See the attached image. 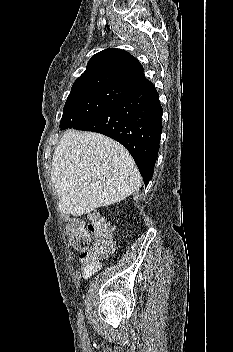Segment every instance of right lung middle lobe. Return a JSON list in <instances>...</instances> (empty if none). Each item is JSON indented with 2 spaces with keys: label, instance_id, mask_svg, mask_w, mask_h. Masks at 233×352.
I'll return each mask as SVG.
<instances>
[{
  "label": "right lung middle lobe",
  "instance_id": "obj_1",
  "mask_svg": "<svg viewBox=\"0 0 233 352\" xmlns=\"http://www.w3.org/2000/svg\"><path fill=\"white\" fill-rule=\"evenodd\" d=\"M137 91L115 84L71 90L63 109L60 129L75 128L108 107L134 95Z\"/></svg>",
  "mask_w": 233,
  "mask_h": 352
}]
</instances>
